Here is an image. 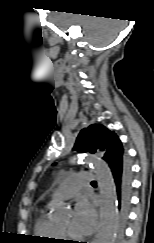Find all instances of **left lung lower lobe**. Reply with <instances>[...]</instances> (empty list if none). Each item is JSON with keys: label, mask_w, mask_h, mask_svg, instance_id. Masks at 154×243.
Instances as JSON below:
<instances>
[{"label": "left lung lower lobe", "mask_w": 154, "mask_h": 243, "mask_svg": "<svg viewBox=\"0 0 154 243\" xmlns=\"http://www.w3.org/2000/svg\"><path fill=\"white\" fill-rule=\"evenodd\" d=\"M107 162L111 169L115 185V193L118 205L116 233L117 240L120 242L123 237L130 207L132 181L131 166L126 153H124L123 159L120 156H117L113 159L108 158Z\"/></svg>", "instance_id": "left-lung-lower-lobe-1"}]
</instances>
